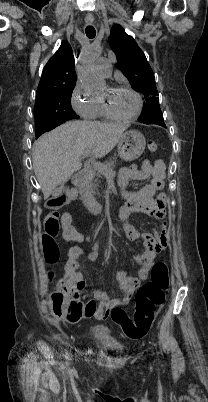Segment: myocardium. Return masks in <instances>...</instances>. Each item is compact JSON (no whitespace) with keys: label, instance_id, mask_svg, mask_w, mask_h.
<instances>
[{"label":"myocardium","instance_id":"myocardium-1","mask_svg":"<svg viewBox=\"0 0 208 402\" xmlns=\"http://www.w3.org/2000/svg\"><path fill=\"white\" fill-rule=\"evenodd\" d=\"M116 90L128 91L137 98V108L134 113H132L130 115H121L112 108L109 98H110L111 94ZM98 99L100 100L101 104L103 105L105 110L108 112V114L119 121H129V120H132V119L138 117L140 115V113L142 112L143 103H144L143 98L139 92H137L136 90L132 89L131 87L125 86V85H119V86H116L113 88H105V91L102 94L98 95Z\"/></svg>","mask_w":208,"mask_h":402}]
</instances>
